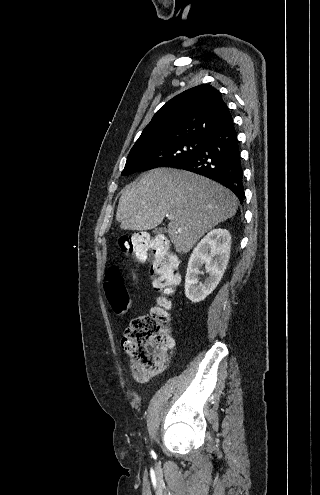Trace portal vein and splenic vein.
<instances>
[{"label": "portal vein and splenic vein", "mask_w": 320, "mask_h": 495, "mask_svg": "<svg viewBox=\"0 0 320 495\" xmlns=\"http://www.w3.org/2000/svg\"><path fill=\"white\" fill-rule=\"evenodd\" d=\"M166 216H167L168 219H172L173 218V215H171V214H167Z\"/></svg>", "instance_id": "18ae733b"}]
</instances>
